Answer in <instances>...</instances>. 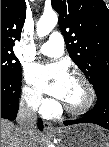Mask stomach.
<instances>
[{"mask_svg": "<svg viewBox=\"0 0 109 147\" xmlns=\"http://www.w3.org/2000/svg\"><path fill=\"white\" fill-rule=\"evenodd\" d=\"M61 147H109V136L93 124H76L57 130Z\"/></svg>", "mask_w": 109, "mask_h": 147, "instance_id": "obj_1", "label": "stomach"}]
</instances>
